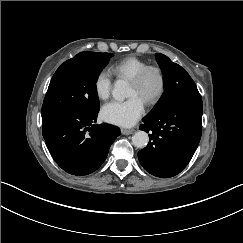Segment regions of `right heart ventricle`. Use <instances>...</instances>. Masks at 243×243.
Returning <instances> with one entry per match:
<instances>
[{
	"instance_id": "e07e8e85",
	"label": "right heart ventricle",
	"mask_w": 243,
	"mask_h": 243,
	"mask_svg": "<svg viewBox=\"0 0 243 243\" xmlns=\"http://www.w3.org/2000/svg\"><path fill=\"white\" fill-rule=\"evenodd\" d=\"M145 65H147V62L145 60L131 56L111 65L110 70L115 76L119 78H127L128 80H130Z\"/></svg>"
}]
</instances>
